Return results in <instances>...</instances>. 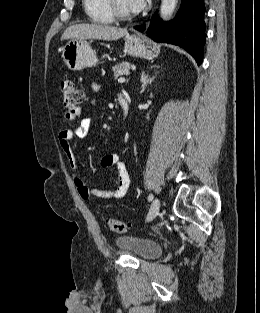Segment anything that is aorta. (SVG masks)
<instances>
[{
  "instance_id": "762f6f07",
  "label": "aorta",
  "mask_w": 260,
  "mask_h": 313,
  "mask_svg": "<svg viewBox=\"0 0 260 313\" xmlns=\"http://www.w3.org/2000/svg\"><path fill=\"white\" fill-rule=\"evenodd\" d=\"M178 0H162L161 1V8H160V15L163 19H167L172 15L174 12Z\"/></svg>"
}]
</instances>
